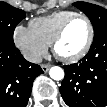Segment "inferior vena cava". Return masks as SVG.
Returning a JSON list of instances; mask_svg holds the SVG:
<instances>
[{"label":"inferior vena cava","mask_w":107,"mask_h":107,"mask_svg":"<svg viewBox=\"0 0 107 107\" xmlns=\"http://www.w3.org/2000/svg\"><path fill=\"white\" fill-rule=\"evenodd\" d=\"M24 58L32 63L39 64L42 62V57L36 53H24Z\"/></svg>","instance_id":"obj_1"}]
</instances>
